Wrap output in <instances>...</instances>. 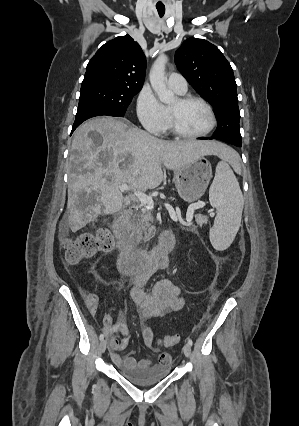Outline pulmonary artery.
Wrapping results in <instances>:
<instances>
[{"label":"pulmonary artery","mask_w":299,"mask_h":426,"mask_svg":"<svg viewBox=\"0 0 299 426\" xmlns=\"http://www.w3.org/2000/svg\"><path fill=\"white\" fill-rule=\"evenodd\" d=\"M168 85L175 91L185 93L187 91V81L179 73H170L167 79Z\"/></svg>","instance_id":"obj_1"}]
</instances>
